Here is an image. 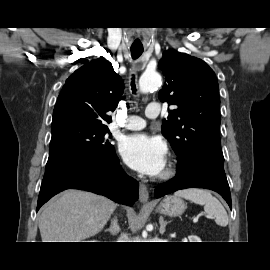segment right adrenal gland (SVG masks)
Here are the masks:
<instances>
[{
  "label": "right adrenal gland",
  "instance_id": "right-adrenal-gland-1",
  "mask_svg": "<svg viewBox=\"0 0 270 270\" xmlns=\"http://www.w3.org/2000/svg\"><path fill=\"white\" fill-rule=\"evenodd\" d=\"M106 232H110L111 235L115 236L120 231L118 218L117 216H114V218L111 220V225L108 229L105 230Z\"/></svg>",
  "mask_w": 270,
  "mask_h": 270
}]
</instances>
